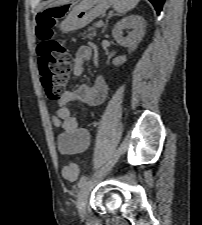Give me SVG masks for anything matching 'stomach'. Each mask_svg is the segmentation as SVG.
I'll use <instances>...</instances> for the list:
<instances>
[{
  "instance_id": "1",
  "label": "stomach",
  "mask_w": 202,
  "mask_h": 225,
  "mask_svg": "<svg viewBox=\"0 0 202 225\" xmlns=\"http://www.w3.org/2000/svg\"><path fill=\"white\" fill-rule=\"evenodd\" d=\"M111 4L112 0H82L76 5H59L56 8L66 6L65 8L68 9L65 19L59 24V28L63 33L81 29L104 14Z\"/></svg>"
}]
</instances>
